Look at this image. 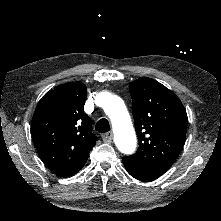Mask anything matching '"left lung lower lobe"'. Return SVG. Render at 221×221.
<instances>
[{
  "label": "left lung lower lobe",
  "instance_id": "left-lung-lower-lobe-1",
  "mask_svg": "<svg viewBox=\"0 0 221 221\" xmlns=\"http://www.w3.org/2000/svg\"><path fill=\"white\" fill-rule=\"evenodd\" d=\"M122 161L124 163V166L127 170V172L134 178L141 180V181H152L155 180L154 178L146 175L145 173L141 172L139 169L131 166L128 162H126L123 158Z\"/></svg>",
  "mask_w": 221,
  "mask_h": 221
}]
</instances>
